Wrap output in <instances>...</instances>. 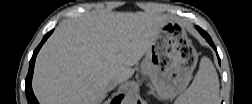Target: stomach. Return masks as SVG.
<instances>
[{"instance_id": "0dacf381", "label": "stomach", "mask_w": 252, "mask_h": 104, "mask_svg": "<svg viewBox=\"0 0 252 104\" xmlns=\"http://www.w3.org/2000/svg\"><path fill=\"white\" fill-rule=\"evenodd\" d=\"M197 61L198 53L185 29L167 20L145 55L141 72L150 78L160 98L171 99L186 89Z\"/></svg>"}]
</instances>
